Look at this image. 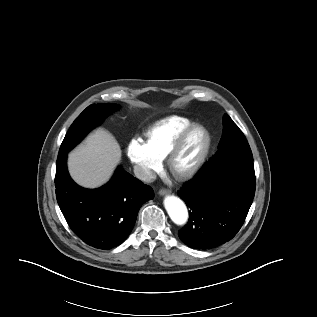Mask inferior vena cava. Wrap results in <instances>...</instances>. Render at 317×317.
<instances>
[{"mask_svg":"<svg viewBox=\"0 0 317 317\" xmlns=\"http://www.w3.org/2000/svg\"><path fill=\"white\" fill-rule=\"evenodd\" d=\"M135 176L144 182H153L156 179V174L151 169L141 166L140 164L134 166Z\"/></svg>","mask_w":317,"mask_h":317,"instance_id":"602c4592","label":"inferior vena cava"}]
</instances>
